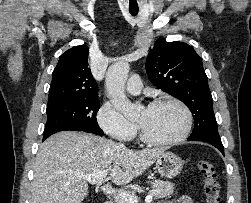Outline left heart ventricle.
Here are the masks:
<instances>
[{
	"label": "left heart ventricle",
	"mask_w": 251,
	"mask_h": 203,
	"mask_svg": "<svg viewBox=\"0 0 251 203\" xmlns=\"http://www.w3.org/2000/svg\"><path fill=\"white\" fill-rule=\"evenodd\" d=\"M137 123L154 139L167 140L178 136L185 125L182 110L173 103H164L141 110Z\"/></svg>",
	"instance_id": "b2bd125f"
}]
</instances>
